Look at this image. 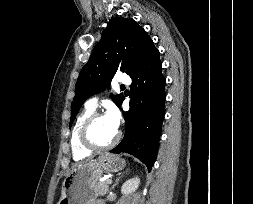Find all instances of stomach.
<instances>
[{"instance_id":"obj_1","label":"stomach","mask_w":253,"mask_h":204,"mask_svg":"<svg viewBox=\"0 0 253 204\" xmlns=\"http://www.w3.org/2000/svg\"><path fill=\"white\" fill-rule=\"evenodd\" d=\"M126 161L117 155L102 154L96 160L73 168L62 184L61 197L57 204H95L98 195L94 186L104 173L118 172Z\"/></svg>"}]
</instances>
